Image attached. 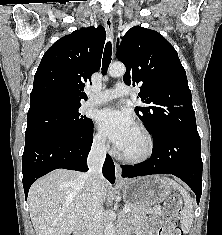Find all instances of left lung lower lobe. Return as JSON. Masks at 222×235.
I'll list each match as a JSON object with an SVG mask.
<instances>
[{
	"mask_svg": "<svg viewBox=\"0 0 222 235\" xmlns=\"http://www.w3.org/2000/svg\"><path fill=\"white\" fill-rule=\"evenodd\" d=\"M153 142L150 159L133 166L122 165V177L175 175L194 191L199 204L203 168L200 137L183 132H170Z\"/></svg>",
	"mask_w": 222,
	"mask_h": 235,
	"instance_id": "left-lung-lower-lobe-1",
	"label": "left lung lower lobe"
}]
</instances>
